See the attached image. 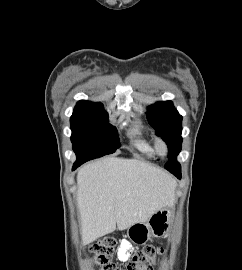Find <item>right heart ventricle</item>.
I'll return each mask as SVG.
<instances>
[{
    "label": "right heart ventricle",
    "mask_w": 242,
    "mask_h": 270,
    "mask_svg": "<svg viewBox=\"0 0 242 270\" xmlns=\"http://www.w3.org/2000/svg\"><path fill=\"white\" fill-rule=\"evenodd\" d=\"M129 135L132 139L133 145L137 150L149 157H153L155 155L153 140L150 138L148 132L142 126H134L130 130Z\"/></svg>",
    "instance_id": "obj_1"
}]
</instances>
